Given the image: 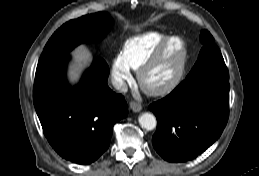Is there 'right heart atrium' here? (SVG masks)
Segmentation results:
<instances>
[{"label":"right heart atrium","mask_w":259,"mask_h":176,"mask_svg":"<svg viewBox=\"0 0 259 176\" xmlns=\"http://www.w3.org/2000/svg\"><path fill=\"white\" fill-rule=\"evenodd\" d=\"M110 73L112 81L118 90H123L126 84L131 81L130 69L124 63L121 53L113 57Z\"/></svg>","instance_id":"1"}]
</instances>
